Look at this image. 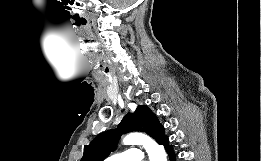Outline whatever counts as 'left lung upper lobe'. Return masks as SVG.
I'll list each match as a JSON object with an SVG mask.
<instances>
[{"instance_id":"obj_1","label":"left lung upper lobe","mask_w":261,"mask_h":161,"mask_svg":"<svg viewBox=\"0 0 261 161\" xmlns=\"http://www.w3.org/2000/svg\"><path fill=\"white\" fill-rule=\"evenodd\" d=\"M163 130L156 116L146 106L140 105L133 114L128 113L122 119L117 129L103 132L85 145L81 161H103L116 148L124 133L145 132L159 143L165 137Z\"/></svg>"}]
</instances>
